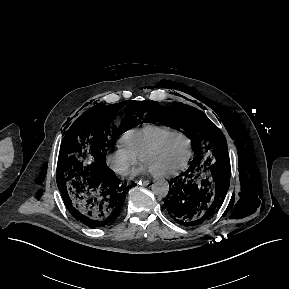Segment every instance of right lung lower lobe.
<instances>
[{"instance_id": "1", "label": "right lung lower lobe", "mask_w": 289, "mask_h": 289, "mask_svg": "<svg viewBox=\"0 0 289 289\" xmlns=\"http://www.w3.org/2000/svg\"><path fill=\"white\" fill-rule=\"evenodd\" d=\"M132 186L123 184L105 163L84 169L60 192L70 214L95 229L108 227L117 220L126 192Z\"/></svg>"}]
</instances>
